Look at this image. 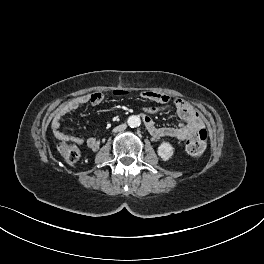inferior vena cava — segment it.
I'll return each mask as SVG.
<instances>
[{"mask_svg": "<svg viewBox=\"0 0 264 264\" xmlns=\"http://www.w3.org/2000/svg\"><path fill=\"white\" fill-rule=\"evenodd\" d=\"M125 128H126V125H120L118 127H114V132L125 130Z\"/></svg>", "mask_w": 264, "mask_h": 264, "instance_id": "obj_1", "label": "inferior vena cava"}]
</instances>
